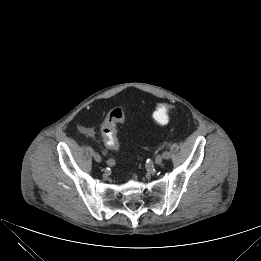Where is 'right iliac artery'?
<instances>
[{
    "label": "right iliac artery",
    "mask_w": 261,
    "mask_h": 261,
    "mask_svg": "<svg viewBox=\"0 0 261 261\" xmlns=\"http://www.w3.org/2000/svg\"><path fill=\"white\" fill-rule=\"evenodd\" d=\"M106 163L108 164V165H114L115 164V160L114 159H107L106 160Z\"/></svg>",
    "instance_id": "1"
}]
</instances>
